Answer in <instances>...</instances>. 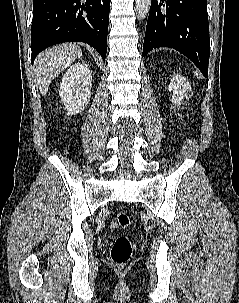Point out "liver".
Returning <instances> with one entry per match:
<instances>
[{
    "mask_svg": "<svg viewBox=\"0 0 239 303\" xmlns=\"http://www.w3.org/2000/svg\"><path fill=\"white\" fill-rule=\"evenodd\" d=\"M81 56V48L72 43L56 45L40 53L36 58L34 69L40 93L46 96L54 77Z\"/></svg>",
    "mask_w": 239,
    "mask_h": 303,
    "instance_id": "liver-1",
    "label": "liver"
}]
</instances>
